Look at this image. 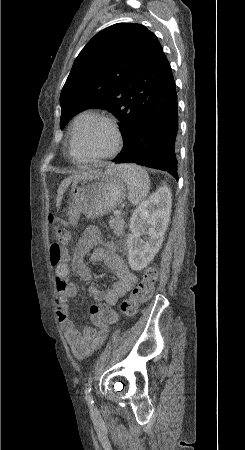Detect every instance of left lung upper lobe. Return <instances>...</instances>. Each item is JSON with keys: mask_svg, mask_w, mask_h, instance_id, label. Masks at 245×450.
<instances>
[{"mask_svg": "<svg viewBox=\"0 0 245 450\" xmlns=\"http://www.w3.org/2000/svg\"><path fill=\"white\" fill-rule=\"evenodd\" d=\"M168 67L157 37L143 25L118 23L100 31L77 56L61 91V129L85 108H104L121 122L125 144Z\"/></svg>", "mask_w": 245, "mask_h": 450, "instance_id": "5c2ea615", "label": "left lung upper lobe"}]
</instances>
